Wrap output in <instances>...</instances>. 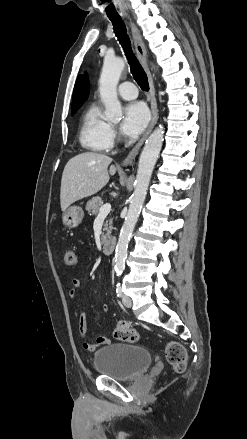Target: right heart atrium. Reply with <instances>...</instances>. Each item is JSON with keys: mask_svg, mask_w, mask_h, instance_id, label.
I'll list each match as a JSON object with an SVG mask.
<instances>
[{"mask_svg": "<svg viewBox=\"0 0 247 439\" xmlns=\"http://www.w3.org/2000/svg\"><path fill=\"white\" fill-rule=\"evenodd\" d=\"M112 135L114 136L115 135V131L112 129Z\"/></svg>", "mask_w": 247, "mask_h": 439, "instance_id": "d8ad5b80", "label": "right heart atrium"}]
</instances>
